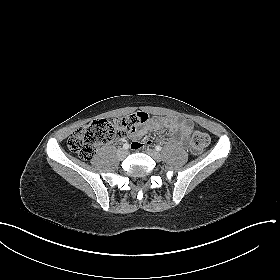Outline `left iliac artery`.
Instances as JSON below:
<instances>
[{"label":"left iliac artery","mask_w":280,"mask_h":280,"mask_svg":"<svg viewBox=\"0 0 280 280\" xmlns=\"http://www.w3.org/2000/svg\"><path fill=\"white\" fill-rule=\"evenodd\" d=\"M155 149H156L157 151H161L162 147L159 146V145H157V146L155 147Z\"/></svg>","instance_id":"44dca946"}]
</instances>
